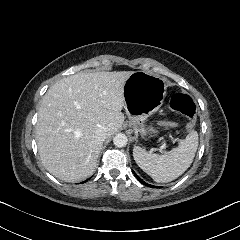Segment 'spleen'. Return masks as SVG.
Segmentation results:
<instances>
[{
	"instance_id": "spleen-1",
	"label": "spleen",
	"mask_w": 240,
	"mask_h": 240,
	"mask_svg": "<svg viewBox=\"0 0 240 240\" xmlns=\"http://www.w3.org/2000/svg\"><path fill=\"white\" fill-rule=\"evenodd\" d=\"M198 147V133L192 131L177 148L163 154L148 153L135 146L133 157L137 165L157 183H168L182 175L192 164Z\"/></svg>"
}]
</instances>
